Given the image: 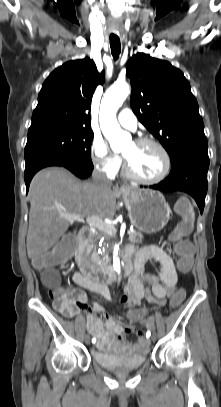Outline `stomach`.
<instances>
[{
    "label": "stomach",
    "mask_w": 221,
    "mask_h": 407,
    "mask_svg": "<svg viewBox=\"0 0 221 407\" xmlns=\"http://www.w3.org/2000/svg\"><path fill=\"white\" fill-rule=\"evenodd\" d=\"M122 196L131 223L140 231L153 234L162 230L168 223L171 210L160 192L128 189Z\"/></svg>",
    "instance_id": "stomach-1"
}]
</instances>
